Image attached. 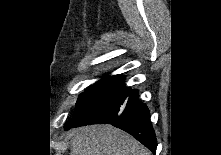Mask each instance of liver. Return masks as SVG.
Wrapping results in <instances>:
<instances>
[{
    "mask_svg": "<svg viewBox=\"0 0 221 155\" xmlns=\"http://www.w3.org/2000/svg\"><path fill=\"white\" fill-rule=\"evenodd\" d=\"M70 144V155H150L136 139L111 125L77 128Z\"/></svg>",
    "mask_w": 221,
    "mask_h": 155,
    "instance_id": "1",
    "label": "liver"
}]
</instances>
